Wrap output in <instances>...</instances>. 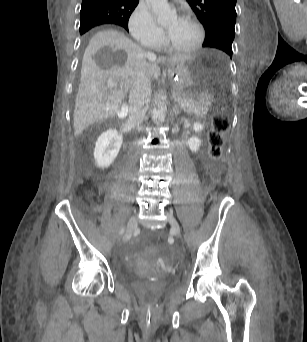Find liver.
Segmentation results:
<instances>
[{
    "label": "liver",
    "instance_id": "obj_1",
    "mask_svg": "<svg viewBox=\"0 0 307 342\" xmlns=\"http://www.w3.org/2000/svg\"><path fill=\"white\" fill-rule=\"evenodd\" d=\"M147 54L117 30H103L91 38L83 56L80 84L74 108V136H80L94 122L113 118L140 74L161 76L158 64L165 58L146 62ZM177 54L169 58L171 66L189 60ZM107 82H121L122 88H108Z\"/></svg>",
    "mask_w": 307,
    "mask_h": 342
}]
</instances>
